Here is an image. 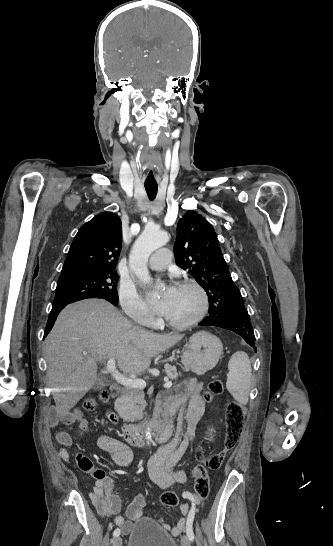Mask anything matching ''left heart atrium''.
<instances>
[{
    "mask_svg": "<svg viewBox=\"0 0 333 546\" xmlns=\"http://www.w3.org/2000/svg\"><path fill=\"white\" fill-rule=\"evenodd\" d=\"M176 288L174 286H168L162 295V298L157 303V310L166 315L170 306V302L175 293Z\"/></svg>",
    "mask_w": 333,
    "mask_h": 546,
    "instance_id": "left-heart-atrium-1",
    "label": "left heart atrium"
}]
</instances>
